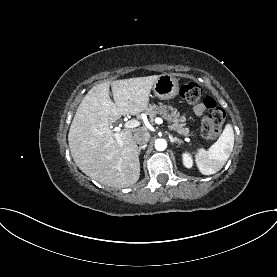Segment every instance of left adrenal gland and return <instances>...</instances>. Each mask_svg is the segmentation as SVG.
Segmentation results:
<instances>
[{
	"label": "left adrenal gland",
	"instance_id": "1",
	"mask_svg": "<svg viewBox=\"0 0 277 277\" xmlns=\"http://www.w3.org/2000/svg\"><path fill=\"white\" fill-rule=\"evenodd\" d=\"M169 139L172 144L178 142V144L180 145V140L176 137H173L171 134H169Z\"/></svg>",
	"mask_w": 277,
	"mask_h": 277
}]
</instances>
